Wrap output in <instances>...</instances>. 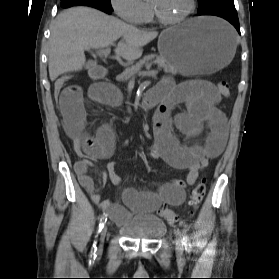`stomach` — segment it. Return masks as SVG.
Returning a JSON list of instances; mask_svg holds the SVG:
<instances>
[{
	"instance_id": "1",
	"label": "stomach",
	"mask_w": 279,
	"mask_h": 279,
	"mask_svg": "<svg viewBox=\"0 0 279 279\" xmlns=\"http://www.w3.org/2000/svg\"><path fill=\"white\" fill-rule=\"evenodd\" d=\"M158 50L184 76L212 74L228 69L236 50L235 34L221 20L194 18L164 30Z\"/></svg>"
}]
</instances>
